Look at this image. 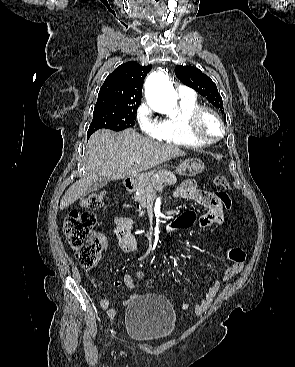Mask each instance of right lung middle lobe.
Instances as JSON below:
<instances>
[{"instance_id":"dd1d6c3e","label":"right lung middle lobe","mask_w":295,"mask_h":367,"mask_svg":"<svg viewBox=\"0 0 295 367\" xmlns=\"http://www.w3.org/2000/svg\"><path fill=\"white\" fill-rule=\"evenodd\" d=\"M141 101L98 98L87 136L101 128L121 131L135 125V114Z\"/></svg>"}]
</instances>
